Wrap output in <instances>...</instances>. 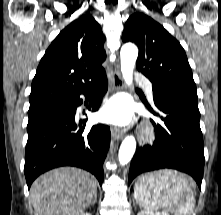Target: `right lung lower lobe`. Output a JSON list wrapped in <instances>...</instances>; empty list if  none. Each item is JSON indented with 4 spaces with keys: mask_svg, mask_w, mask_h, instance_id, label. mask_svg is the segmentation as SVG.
<instances>
[{
    "mask_svg": "<svg viewBox=\"0 0 221 215\" xmlns=\"http://www.w3.org/2000/svg\"><path fill=\"white\" fill-rule=\"evenodd\" d=\"M107 91V78L73 97L29 114L24 173L28 188L42 173L60 166H76L96 176L102 184L103 163L110 144V128L97 124L77 129L75 114L80 95L91 96L89 110L97 111ZM87 119L79 122L85 124Z\"/></svg>",
    "mask_w": 221,
    "mask_h": 215,
    "instance_id": "right-lung-lower-lobe-1",
    "label": "right lung lower lobe"
}]
</instances>
